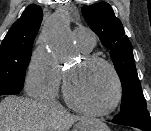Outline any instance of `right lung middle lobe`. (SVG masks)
Instances as JSON below:
<instances>
[{
    "label": "right lung middle lobe",
    "mask_w": 151,
    "mask_h": 131,
    "mask_svg": "<svg viewBox=\"0 0 151 131\" xmlns=\"http://www.w3.org/2000/svg\"><path fill=\"white\" fill-rule=\"evenodd\" d=\"M31 55L32 44H1L0 95H14L22 90Z\"/></svg>",
    "instance_id": "right-lung-middle-lobe-1"
}]
</instances>
